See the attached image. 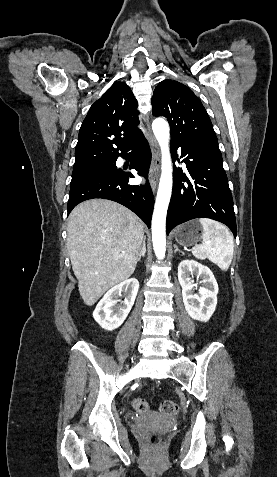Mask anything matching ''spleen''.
Returning a JSON list of instances; mask_svg holds the SVG:
<instances>
[{
    "mask_svg": "<svg viewBox=\"0 0 277 477\" xmlns=\"http://www.w3.org/2000/svg\"><path fill=\"white\" fill-rule=\"evenodd\" d=\"M202 243L192 249V254L200 259H208L222 271H227L233 259L234 242L230 231L219 222L202 218Z\"/></svg>",
    "mask_w": 277,
    "mask_h": 477,
    "instance_id": "spleen-1",
    "label": "spleen"
}]
</instances>
